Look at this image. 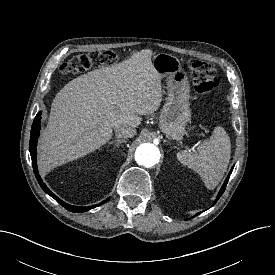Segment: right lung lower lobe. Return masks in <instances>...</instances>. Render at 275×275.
I'll return each mask as SVG.
<instances>
[{"instance_id":"right-lung-lower-lobe-1","label":"right lung lower lobe","mask_w":275,"mask_h":275,"mask_svg":"<svg viewBox=\"0 0 275 275\" xmlns=\"http://www.w3.org/2000/svg\"><path fill=\"white\" fill-rule=\"evenodd\" d=\"M40 119H41V112H39L37 114V116L35 117L32 127H31V135H30V154H31V159H32V165H33V170L36 176V179L38 181V183L40 184L41 188L48 193L51 197H53L59 204H61L63 207H65L67 210L71 211V212H85L88 211L92 208H95L97 206H100L102 204H104L106 202V200H104L103 202L97 204V205H93V206H89V207H77V206H73V205H69L67 203H65L64 201H62L61 199H59L55 194H53L48 188L47 186L44 184L43 180L41 179L40 175L38 174V170H37V164H36V145H37V139L39 136V130H40Z\"/></svg>"}]
</instances>
